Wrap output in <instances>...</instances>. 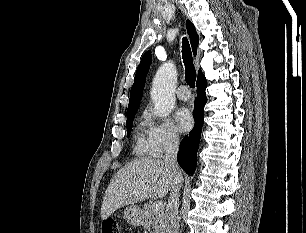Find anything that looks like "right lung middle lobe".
Segmentation results:
<instances>
[{
	"label": "right lung middle lobe",
	"instance_id": "dd1d6c3e",
	"mask_svg": "<svg viewBox=\"0 0 306 233\" xmlns=\"http://www.w3.org/2000/svg\"><path fill=\"white\" fill-rule=\"evenodd\" d=\"M135 114H136V113H132V114H130V115L127 116V136H129V134H130V132H131L132 123H133Z\"/></svg>",
	"mask_w": 306,
	"mask_h": 233
}]
</instances>
